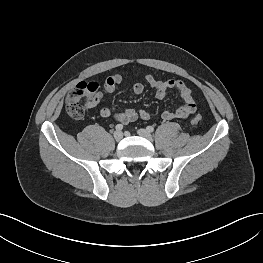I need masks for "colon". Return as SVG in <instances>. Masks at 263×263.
I'll use <instances>...</instances> for the list:
<instances>
[{"label":"colon","instance_id":"5ec220e1","mask_svg":"<svg viewBox=\"0 0 263 263\" xmlns=\"http://www.w3.org/2000/svg\"><path fill=\"white\" fill-rule=\"evenodd\" d=\"M98 92V85L94 82L78 83L66 97L67 113L74 119H81L87 108L91 105L93 97ZM201 121L199 116L192 119V124L197 125Z\"/></svg>","mask_w":263,"mask_h":263}]
</instances>
